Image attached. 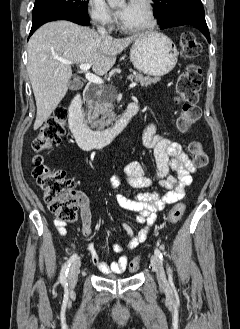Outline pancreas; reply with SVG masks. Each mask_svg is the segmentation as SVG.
<instances>
[{"instance_id": "cf45deb5", "label": "pancreas", "mask_w": 240, "mask_h": 329, "mask_svg": "<svg viewBox=\"0 0 240 329\" xmlns=\"http://www.w3.org/2000/svg\"><path fill=\"white\" fill-rule=\"evenodd\" d=\"M128 79H134L139 82L141 86H148L160 80V78L157 77L151 78L149 76H143L141 73H134L128 76ZM105 94L106 90L101 87L97 89L95 96L88 94L85 98L88 123L93 129L102 130L115 118V114L111 110L114 97L108 99Z\"/></svg>"}]
</instances>
